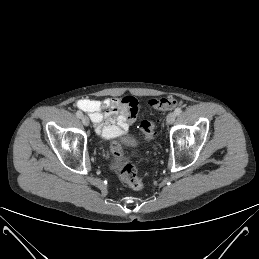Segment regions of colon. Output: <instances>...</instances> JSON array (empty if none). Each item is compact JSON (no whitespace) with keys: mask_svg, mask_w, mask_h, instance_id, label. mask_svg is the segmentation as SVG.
<instances>
[{"mask_svg":"<svg viewBox=\"0 0 259 259\" xmlns=\"http://www.w3.org/2000/svg\"><path fill=\"white\" fill-rule=\"evenodd\" d=\"M177 104L178 101L176 98L168 96L150 100L147 104V108L152 111H167L172 110ZM139 128L144 140L149 141L154 138L155 122L153 120H142ZM110 151L120 180L134 190L142 189L143 181L138 175L137 168L134 164L123 160V150L121 146L118 143H113L110 146Z\"/></svg>","mask_w":259,"mask_h":259,"instance_id":"5ec220e1","label":"colon"}]
</instances>
